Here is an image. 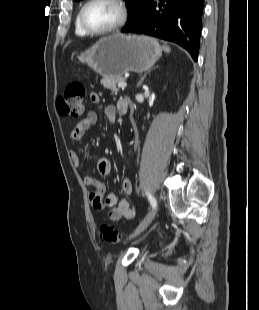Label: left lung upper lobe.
Masks as SVG:
<instances>
[{
    "label": "left lung upper lobe",
    "mask_w": 259,
    "mask_h": 310,
    "mask_svg": "<svg viewBox=\"0 0 259 310\" xmlns=\"http://www.w3.org/2000/svg\"><path fill=\"white\" fill-rule=\"evenodd\" d=\"M75 1H80V0H75ZM147 1L148 0H125L129 8V20L127 24L135 21L139 17Z\"/></svg>",
    "instance_id": "5c2ea615"
}]
</instances>
